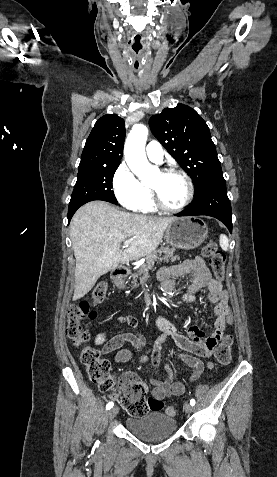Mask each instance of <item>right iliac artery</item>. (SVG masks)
<instances>
[{"label": "right iliac artery", "mask_w": 277, "mask_h": 477, "mask_svg": "<svg viewBox=\"0 0 277 477\" xmlns=\"http://www.w3.org/2000/svg\"><path fill=\"white\" fill-rule=\"evenodd\" d=\"M113 402H109L107 405H106V409L109 410L113 407Z\"/></svg>", "instance_id": "right-iliac-artery-1"}]
</instances>
